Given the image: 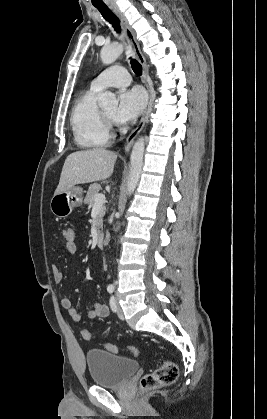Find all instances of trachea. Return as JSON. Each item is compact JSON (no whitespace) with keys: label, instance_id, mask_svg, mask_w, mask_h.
Here are the masks:
<instances>
[{"label":"trachea","instance_id":"3493384b","mask_svg":"<svg viewBox=\"0 0 267 419\" xmlns=\"http://www.w3.org/2000/svg\"><path fill=\"white\" fill-rule=\"evenodd\" d=\"M96 8L99 10L103 18L108 21L114 28V30L117 33L121 32L120 23L118 18L112 13V11L106 7V6H96ZM130 64L134 71V73L138 76L142 74V66L141 64L136 60L130 58Z\"/></svg>","mask_w":267,"mask_h":419}]
</instances>
